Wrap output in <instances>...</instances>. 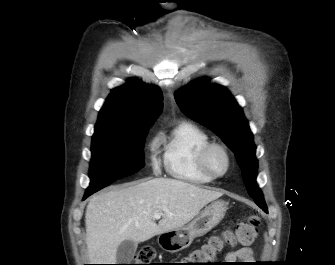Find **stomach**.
Returning <instances> with one entry per match:
<instances>
[{
    "label": "stomach",
    "mask_w": 335,
    "mask_h": 265,
    "mask_svg": "<svg viewBox=\"0 0 335 265\" xmlns=\"http://www.w3.org/2000/svg\"><path fill=\"white\" fill-rule=\"evenodd\" d=\"M226 211L227 203L225 201H213L188 225L161 233L158 237L159 246L170 253L187 248L196 237L205 235L217 226L224 218Z\"/></svg>",
    "instance_id": "obj_1"
}]
</instances>
